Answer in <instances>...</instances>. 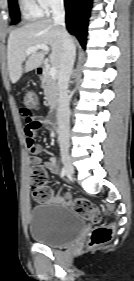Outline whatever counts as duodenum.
<instances>
[{
	"label": "duodenum",
	"mask_w": 134,
	"mask_h": 281,
	"mask_svg": "<svg viewBox=\"0 0 134 281\" xmlns=\"http://www.w3.org/2000/svg\"><path fill=\"white\" fill-rule=\"evenodd\" d=\"M46 71L43 67H39L37 69V74L40 77H43L45 75ZM47 122L51 125V126H56L59 122V113L57 110H52L47 118Z\"/></svg>",
	"instance_id": "410a0bca"
}]
</instances>
